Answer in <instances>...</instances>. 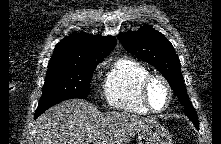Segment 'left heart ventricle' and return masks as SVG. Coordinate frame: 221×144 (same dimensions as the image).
Here are the masks:
<instances>
[{
    "label": "left heart ventricle",
    "mask_w": 221,
    "mask_h": 144,
    "mask_svg": "<svg viewBox=\"0 0 221 144\" xmlns=\"http://www.w3.org/2000/svg\"><path fill=\"white\" fill-rule=\"evenodd\" d=\"M167 90L164 84L159 80H154L149 87V99L152 106L156 109H161L167 102Z\"/></svg>",
    "instance_id": "1"
}]
</instances>
